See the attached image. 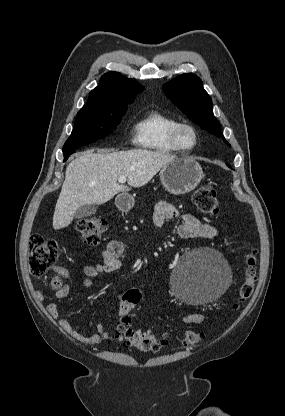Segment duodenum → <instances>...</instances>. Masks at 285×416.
<instances>
[{"label": "duodenum", "instance_id": "obj_1", "mask_svg": "<svg viewBox=\"0 0 285 416\" xmlns=\"http://www.w3.org/2000/svg\"><path fill=\"white\" fill-rule=\"evenodd\" d=\"M134 203L130 193H119L118 197L115 198V205L120 206L124 209H128Z\"/></svg>", "mask_w": 285, "mask_h": 416}]
</instances>
